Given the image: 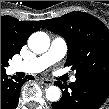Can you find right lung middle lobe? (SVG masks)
I'll return each instance as SVG.
<instances>
[{"label":"right lung middle lobe","instance_id":"obj_1","mask_svg":"<svg viewBox=\"0 0 109 109\" xmlns=\"http://www.w3.org/2000/svg\"><path fill=\"white\" fill-rule=\"evenodd\" d=\"M10 57L6 54L3 46L1 45V72H5V67L8 66Z\"/></svg>","mask_w":109,"mask_h":109}]
</instances>
